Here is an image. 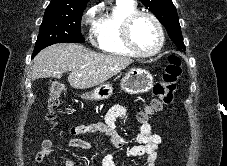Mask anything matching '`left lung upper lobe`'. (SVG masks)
Returning <instances> with one entry per match:
<instances>
[{
  "label": "left lung upper lobe",
  "instance_id": "5c2ea615",
  "mask_svg": "<svg viewBox=\"0 0 227 166\" xmlns=\"http://www.w3.org/2000/svg\"><path fill=\"white\" fill-rule=\"evenodd\" d=\"M164 25L170 39L178 47L185 49L181 27L175 6L171 0H140Z\"/></svg>",
  "mask_w": 227,
  "mask_h": 166
}]
</instances>
